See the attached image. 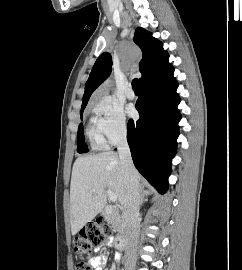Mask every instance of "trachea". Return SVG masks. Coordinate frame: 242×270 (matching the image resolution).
Listing matches in <instances>:
<instances>
[{
  "label": "trachea",
  "mask_w": 242,
  "mask_h": 270,
  "mask_svg": "<svg viewBox=\"0 0 242 270\" xmlns=\"http://www.w3.org/2000/svg\"><path fill=\"white\" fill-rule=\"evenodd\" d=\"M132 88L135 92H140V82L138 79H133L132 81Z\"/></svg>",
  "instance_id": "3493384b"
}]
</instances>
